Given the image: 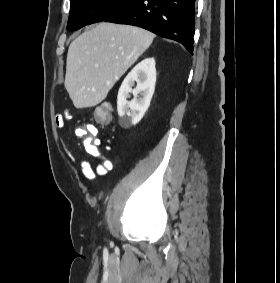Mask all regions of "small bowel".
I'll use <instances>...</instances> for the list:
<instances>
[{
    "mask_svg": "<svg viewBox=\"0 0 280 283\" xmlns=\"http://www.w3.org/2000/svg\"><path fill=\"white\" fill-rule=\"evenodd\" d=\"M73 118V114L69 110H64L62 113L58 114L55 118V124L58 128H63L65 124ZM93 127V126H92ZM95 132H85L82 135V143L85 152L98 159V165L93 167L90 161L82 160L80 162V170L85 179L89 181H94L97 176H103L109 172L113 163L112 160L101 153L99 147V141L93 136ZM64 151L66 156L74 161L75 155L68 147L64 146Z\"/></svg>",
    "mask_w": 280,
    "mask_h": 283,
    "instance_id": "small-bowel-1",
    "label": "small bowel"
}]
</instances>
